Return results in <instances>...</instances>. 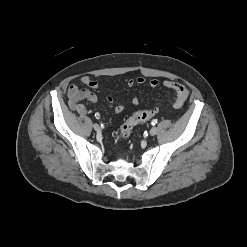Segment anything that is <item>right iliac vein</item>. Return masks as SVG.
I'll return each instance as SVG.
<instances>
[{
	"label": "right iliac vein",
	"instance_id": "1",
	"mask_svg": "<svg viewBox=\"0 0 247 247\" xmlns=\"http://www.w3.org/2000/svg\"><path fill=\"white\" fill-rule=\"evenodd\" d=\"M93 128H94L95 131H99L100 130V126L97 123L93 124Z\"/></svg>",
	"mask_w": 247,
	"mask_h": 247
}]
</instances>
